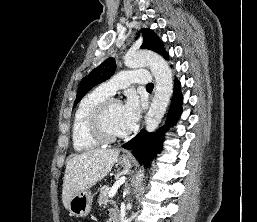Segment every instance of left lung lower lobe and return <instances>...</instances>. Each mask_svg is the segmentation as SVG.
<instances>
[{"label":"left lung lower lobe","instance_id":"obj_1","mask_svg":"<svg viewBox=\"0 0 257 222\" xmlns=\"http://www.w3.org/2000/svg\"><path fill=\"white\" fill-rule=\"evenodd\" d=\"M182 99L180 84L176 80L174 95L164 128H161L157 133H147L145 130H141L133 139L122 145L123 148L132 151V154L138 159L139 163L151 160L161 151L164 132L177 121L182 112Z\"/></svg>","mask_w":257,"mask_h":222}]
</instances>
